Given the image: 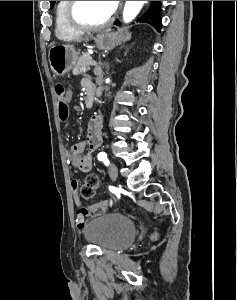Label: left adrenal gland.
I'll return each mask as SVG.
<instances>
[{"label":"left adrenal gland","instance_id":"obj_1","mask_svg":"<svg viewBox=\"0 0 237 300\" xmlns=\"http://www.w3.org/2000/svg\"><path fill=\"white\" fill-rule=\"evenodd\" d=\"M126 55H127V53H124V57H126ZM116 61H119V59H116ZM105 67H106V69H109L107 63H105Z\"/></svg>","mask_w":237,"mask_h":300}]
</instances>
